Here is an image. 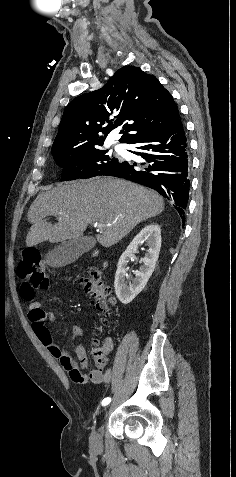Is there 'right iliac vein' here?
I'll use <instances>...</instances> for the list:
<instances>
[{
    "label": "right iliac vein",
    "mask_w": 236,
    "mask_h": 477,
    "mask_svg": "<svg viewBox=\"0 0 236 477\" xmlns=\"http://www.w3.org/2000/svg\"><path fill=\"white\" fill-rule=\"evenodd\" d=\"M103 413H102V416L103 417H109L110 416V408H103ZM90 446H91V449L95 452H99L102 450L103 448V441H102V436L101 434L94 430L91 435H90Z\"/></svg>",
    "instance_id": "63e3f726"
}]
</instances>
